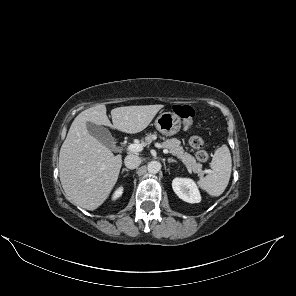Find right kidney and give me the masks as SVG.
<instances>
[{
    "label": "right kidney",
    "instance_id": "1",
    "mask_svg": "<svg viewBox=\"0 0 296 296\" xmlns=\"http://www.w3.org/2000/svg\"><path fill=\"white\" fill-rule=\"evenodd\" d=\"M123 193V187H119L113 194V200L119 198Z\"/></svg>",
    "mask_w": 296,
    "mask_h": 296
}]
</instances>
